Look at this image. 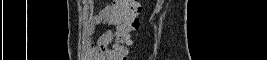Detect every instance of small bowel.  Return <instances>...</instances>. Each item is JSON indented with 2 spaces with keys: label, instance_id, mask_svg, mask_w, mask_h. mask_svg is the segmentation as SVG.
Segmentation results:
<instances>
[{
  "label": "small bowel",
  "instance_id": "1",
  "mask_svg": "<svg viewBox=\"0 0 267 60\" xmlns=\"http://www.w3.org/2000/svg\"><path fill=\"white\" fill-rule=\"evenodd\" d=\"M112 8L110 6L104 7L98 14V17L96 18L100 22H105L109 20L110 13H111ZM93 27V26H92ZM94 28L90 29V33L88 36V43L94 52L96 56H100V54L105 50L107 45L111 42L112 40V31L107 30L105 33H103L96 42H94L92 34H93Z\"/></svg>",
  "mask_w": 267,
  "mask_h": 60
}]
</instances>
